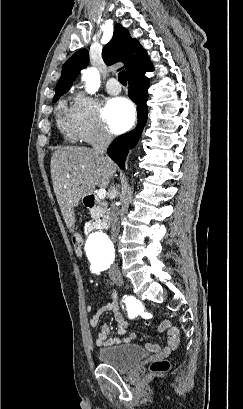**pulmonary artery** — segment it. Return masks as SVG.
I'll return each mask as SVG.
<instances>
[{"label":"pulmonary artery","mask_w":243,"mask_h":409,"mask_svg":"<svg viewBox=\"0 0 243 409\" xmlns=\"http://www.w3.org/2000/svg\"><path fill=\"white\" fill-rule=\"evenodd\" d=\"M106 90L111 95H117L121 92V86L117 79L110 78L106 84Z\"/></svg>","instance_id":"pulmonary-artery-1"}]
</instances>
